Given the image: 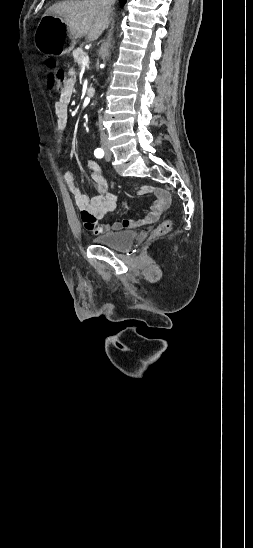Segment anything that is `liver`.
<instances>
[{"mask_svg": "<svg viewBox=\"0 0 253 548\" xmlns=\"http://www.w3.org/2000/svg\"><path fill=\"white\" fill-rule=\"evenodd\" d=\"M47 15L59 17L75 40L86 35L90 41L96 40L109 25L99 0L55 3L46 10Z\"/></svg>", "mask_w": 253, "mask_h": 548, "instance_id": "6515ba94", "label": "liver"}]
</instances>
